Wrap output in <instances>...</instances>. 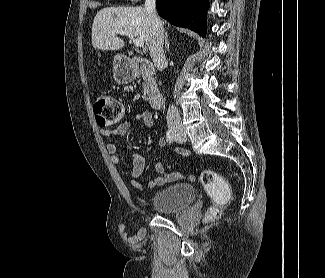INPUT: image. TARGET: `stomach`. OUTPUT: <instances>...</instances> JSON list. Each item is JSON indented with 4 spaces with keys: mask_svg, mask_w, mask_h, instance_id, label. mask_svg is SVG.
Instances as JSON below:
<instances>
[{
    "mask_svg": "<svg viewBox=\"0 0 325 278\" xmlns=\"http://www.w3.org/2000/svg\"><path fill=\"white\" fill-rule=\"evenodd\" d=\"M136 73L130 64L117 58L114 62V77L119 84H128L135 79Z\"/></svg>",
    "mask_w": 325,
    "mask_h": 278,
    "instance_id": "0dacf381",
    "label": "stomach"
}]
</instances>
